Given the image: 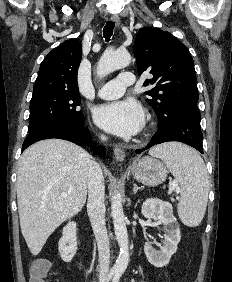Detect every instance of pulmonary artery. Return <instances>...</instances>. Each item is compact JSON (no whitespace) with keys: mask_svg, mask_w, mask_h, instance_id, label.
I'll list each match as a JSON object with an SVG mask.
<instances>
[{"mask_svg":"<svg viewBox=\"0 0 232 282\" xmlns=\"http://www.w3.org/2000/svg\"><path fill=\"white\" fill-rule=\"evenodd\" d=\"M135 83V76L132 72H121L118 77L104 84L97 92L100 98L112 100L121 97L127 86Z\"/></svg>","mask_w":232,"mask_h":282,"instance_id":"obj_1","label":"pulmonary artery"}]
</instances>
